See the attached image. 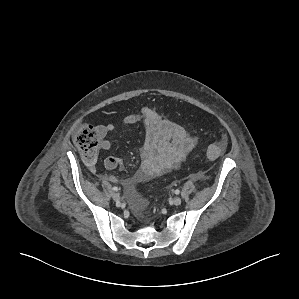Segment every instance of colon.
Instances as JSON below:
<instances>
[{"instance_id":"obj_1","label":"colon","mask_w":299,"mask_h":299,"mask_svg":"<svg viewBox=\"0 0 299 299\" xmlns=\"http://www.w3.org/2000/svg\"><path fill=\"white\" fill-rule=\"evenodd\" d=\"M163 117L170 120L168 116ZM74 142L86 164L94 167L100 147V136L96 129L87 123L79 124L74 132ZM226 146L227 144L223 140L210 144L206 151V157L210 160L220 157L225 152Z\"/></svg>"}]
</instances>
